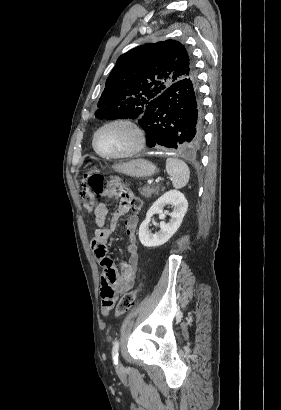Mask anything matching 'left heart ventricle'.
I'll return each instance as SVG.
<instances>
[{
	"instance_id": "obj_1",
	"label": "left heart ventricle",
	"mask_w": 281,
	"mask_h": 410,
	"mask_svg": "<svg viewBox=\"0 0 281 410\" xmlns=\"http://www.w3.org/2000/svg\"><path fill=\"white\" fill-rule=\"evenodd\" d=\"M133 131L122 125L103 129L97 136L98 149L108 155H117L131 149L135 144Z\"/></svg>"
}]
</instances>
